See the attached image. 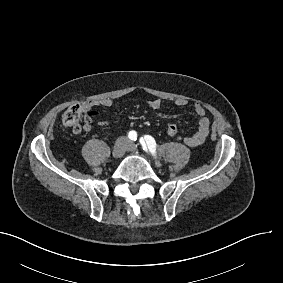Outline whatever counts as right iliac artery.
<instances>
[{
  "label": "right iliac artery",
  "mask_w": 283,
  "mask_h": 283,
  "mask_svg": "<svg viewBox=\"0 0 283 283\" xmlns=\"http://www.w3.org/2000/svg\"><path fill=\"white\" fill-rule=\"evenodd\" d=\"M128 137H129V139H131V140H133V141H136V139H137V133H136L135 131H130V132L128 133Z\"/></svg>",
  "instance_id": "82829eb1"
}]
</instances>
